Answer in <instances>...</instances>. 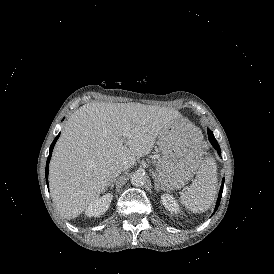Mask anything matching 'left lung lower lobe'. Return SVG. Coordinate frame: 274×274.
Returning a JSON list of instances; mask_svg holds the SVG:
<instances>
[{
	"mask_svg": "<svg viewBox=\"0 0 274 274\" xmlns=\"http://www.w3.org/2000/svg\"><path fill=\"white\" fill-rule=\"evenodd\" d=\"M208 136H209V141L211 142V144L213 145V147L217 150V152L220 154L219 144L215 140V137H214L212 131H208ZM223 183H224V178L222 180V185H221V189H220V192H219L218 200H217V203H216L215 211L217 210V208L219 206V203H220V199H221L222 191H223Z\"/></svg>",
	"mask_w": 274,
	"mask_h": 274,
	"instance_id": "left-lung-lower-lobe-1",
	"label": "left lung lower lobe"
}]
</instances>
